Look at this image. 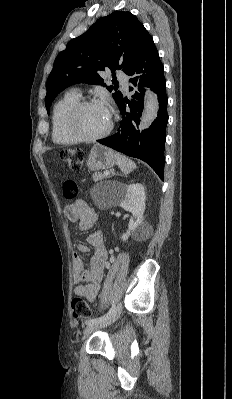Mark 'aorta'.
Listing matches in <instances>:
<instances>
[{"instance_id":"762f6f07","label":"aorta","mask_w":232,"mask_h":399,"mask_svg":"<svg viewBox=\"0 0 232 399\" xmlns=\"http://www.w3.org/2000/svg\"><path fill=\"white\" fill-rule=\"evenodd\" d=\"M158 110L159 102L157 95L149 88H146L144 110L139 125L140 130L146 129L152 124L157 117Z\"/></svg>"}]
</instances>
